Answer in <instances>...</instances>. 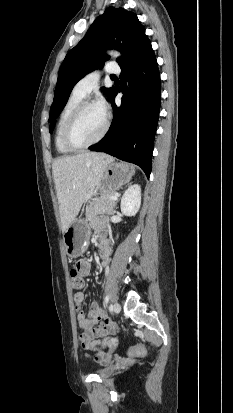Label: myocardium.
Instances as JSON below:
<instances>
[{
  "label": "myocardium",
  "instance_id": "myocardium-1",
  "mask_svg": "<svg viewBox=\"0 0 233 413\" xmlns=\"http://www.w3.org/2000/svg\"><path fill=\"white\" fill-rule=\"evenodd\" d=\"M93 105H97V102L94 101V100L86 99V100L81 101L73 109V111L68 116L67 120L65 121L64 126L62 128V132H61V140H62L63 145L67 149H69L71 151H78V150L86 149V148H89V147L97 144L98 142H100L106 136V134L109 130V126H110V121H109V118L107 116H105V124H104L102 132L100 133V135L97 138H95L91 142H88V143H85V144H76L71 139V130H72V127L74 126L77 118L79 117V115L82 113V111L84 109H86L89 106H93Z\"/></svg>",
  "mask_w": 233,
  "mask_h": 413
}]
</instances>
